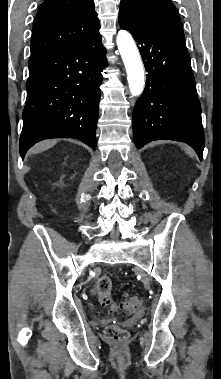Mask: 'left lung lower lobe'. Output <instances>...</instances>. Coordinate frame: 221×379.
Instances as JSON below:
<instances>
[{"mask_svg":"<svg viewBox=\"0 0 221 379\" xmlns=\"http://www.w3.org/2000/svg\"><path fill=\"white\" fill-rule=\"evenodd\" d=\"M119 24L135 38L148 72L133 111L137 148L154 140H176L191 145L202 160L201 105L185 38L146 26L124 7L119 10Z\"/></svg>","mask_w":221,"mask_h":379,"instance_id":"obj_1","label":"left lung lower lobe"}]
</instances>
